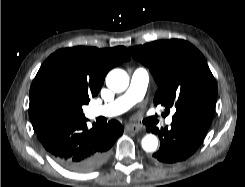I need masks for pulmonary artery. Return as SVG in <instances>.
<instances>
[{
    "label": "pulmonary artery",
    "mask_w": 245,
    "mask_h": 187,
    "mask_svg": "<svg viewBox=\"0 0 245 187\" xmlns=\"http://www.w3.org/2000/svg\"><path fill=\"white\" fill-rule=\"evenodd\" d=\"M148 82L149 75L147 70L144 68H137L131 76L127 91L111 103L90 108V117H113L127 111L144 97ZM171 122L172 117H168L166 123L170 124Z\"/></svg>",
    "instance_id": "pulmonary-artery-1"
}]
</instances>
